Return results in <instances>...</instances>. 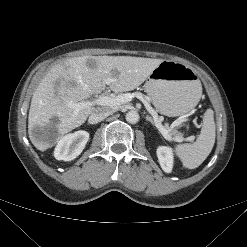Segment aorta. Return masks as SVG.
I'll use <instances>...</instances> for the list:
<instances>
[{"label": "aorta", "instance_id": "1", "mask_svg": "<svg viewBox=\"0 0 247 247\" xmlns=\"http://www.w3.org/2000/svg\"><path fill=\"white\" fill-rule=\"evenodd\" d=\"M126 121L129 122V123H132V124H135L139 121V114L137 111L135 110H131L129 112L126 113Z\"/></svg>", "mask_w": 247, "mask_h": 247}]
</instances>
